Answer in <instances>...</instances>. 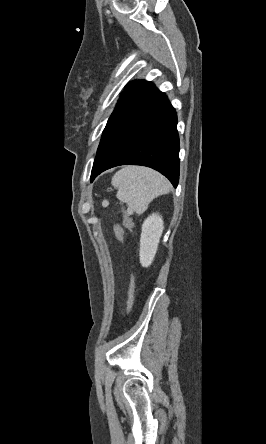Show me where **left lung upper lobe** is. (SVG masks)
I'll return each mask as SVG.
<instances>
[{
  "label": "left lung upper lobe",
  "instance_id": "5c2ea615",
  "mask_svg": "<svg viewBox=\"0 0 266 444\" xmlns=\"http://www.w3.org/2000/svg\"><path fill=\"white\" fill-rule=\"evenodd\" d=\"M153 87L154 85L151 82H147L145 80L131 82L122 92L115 110L121 109L132 103L133 101L150 91Z\"/></svg>",
  "mask_w": 266,
  "mask_h": 444
}]
</instances>
